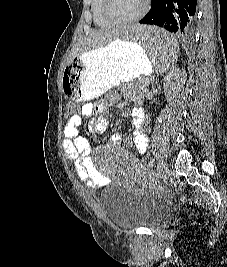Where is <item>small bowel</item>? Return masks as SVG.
Returning <instances> with one entry per match:
<instances>
[{"label": "small bowel", "mask_w": 227, "mask_h": 267, "mask_svg": "<svg viewBox=\"0 0 227 267\" xmlns=\"http://www.w3.org/2000/svg\"><path fill=\"white\" fill-rule=\"evenodd\" d=\"M105 112L103 103H85L77 116H70L63 131V148L66 157L74 162L78 178L90 189L96 190L106 183V176L97 168L90 156L88 140L79 133V126L83 120H89L88 128L95 134H103L108 128V121L101 116ZM133 131L127 143L133 145L138 153H144L148 146V138L143 132L144 118L140 109L132 112ZM120 135H113L112 143L119 144Z\"/></svg>", "instance_id": "small-bowel-1"}]
</instances>
